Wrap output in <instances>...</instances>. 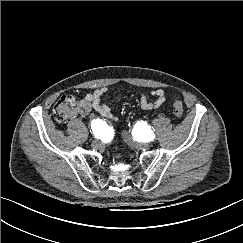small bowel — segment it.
Segmentation results:
<instances>
[{"mask_svg": "<svg viewBox=\"0 0 243 243\" xmlns=\"http://www.w3.org/2000/svg\"><path fill=\"white\" fill-rule=\"evenodd\" d=\"M109 88L101 87L94 92L86 95L81 101H79L77 108L74 111V115L83 114L88 115L91 111H95L103 118L109 120H115L116 115L112 112L111 107L102 101L104 94L108 92ZM149 95L155 98L154 102H150L146 94L141 93L139 95L140 107L144 110L157 109L162 106L166 101V95L163 89H154L149 91ZM106 136L112 135V129L109 126L105 127Z\"/></svg>", "mask_w": 243, "mask_h": 243, "instance_id": "1", "label": "small bowel"}]
</instances>
